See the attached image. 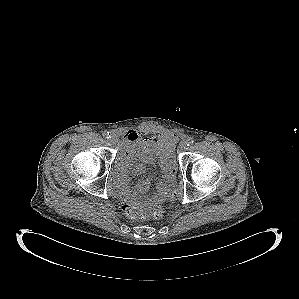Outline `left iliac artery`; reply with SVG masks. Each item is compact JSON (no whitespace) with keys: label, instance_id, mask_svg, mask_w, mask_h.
<instances>
[{"label":"left iliac artery","instance_id":"obj_1","mask_svg":"<svg viewBox=\"0 0 299 299\" xmlns=\"http://www.w3.org/2000/svg\"><path fill=\"white\" fill-rule=\"evenodd\" d=\"M193 143H194V140H193V139H188V140H187V145H188V146H191Z\"/></svg>","mask_w":299,"mask_h":299}]
</instances>
